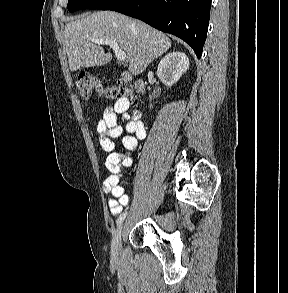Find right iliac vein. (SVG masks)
I'll list each match as a JSON object with an SVG mask.
<instances>
[{"instance_id": "63e3f726", "label": "right iliac vein", "mask_w": 288, "mask_h": 293, "mask_svg": "<svg viewBox=\"0 0 288 293\" xmlns=\"http://www.w3.org/2000/svg\"><path fill=\"white\" fill-rule=\"evenodd\" d=\"M122 232H123V224H120L112 239L111 255L114 260H117L120 255Z\"/></svg>"}]
</instances>
